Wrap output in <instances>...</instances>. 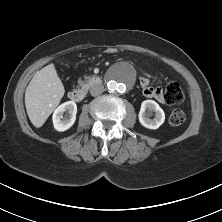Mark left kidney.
I'll return each mask as SVG.
<instances>
[{"mask_svg":"<svg viewBox=\"0 0 222 222\" xmlns=\"http://www.w3.org/2000/svg\"><path fill=\"white\" fill-rule=\"evenodd\" d=\"M151 112H155L154 119L148 117ZM138 117L141 125L148 129L159 128L165 120L163 109L154 100H145L142 102Z\"/></svg>","mask_w":222,"mask_h":222,"instance_id":"left-kidney-1","label":"left kidney"}]
</instances>
